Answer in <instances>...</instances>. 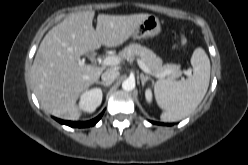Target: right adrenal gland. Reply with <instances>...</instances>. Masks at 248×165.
<instances>
[{"mask_svg":"<svg viewBox=\"0 0 248 165\" xmlns=\"http://www.w3.org/2000/svg\"><path fill=\"white\" fill-rule=\"evenodd\" d=\"M96 84H101V85H103V86H105V87H108V86H110L111 84L110 83H105V82H101V81H96L95 82Z\"/></svg>","mask_w":248,"mask_h":165,"instance_id":"obj_1","label":"right adrenal gland"}]
</instances>
